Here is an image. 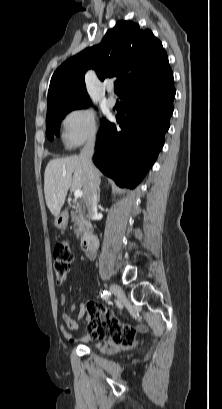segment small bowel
Wrapping results in <instances>:
<instances>
[{
  "instance_id": "small-bowel-1",
  "label": "small bowel",
  "mask_w": 222,
  "mask_h": 409,
  "mask_svg": "<svg viewBox=\"0 0 222 409\" xmlns=\"http://www.w3.org/2000/svg\"><path fill=\"white\" fill-rule=\"evenodd\" d=\"M87 257L89 259H91V260H94L96 255L95 254H91V255L87 254ZM67 302H68L67 295L62 294L61 297H60V303L62 305H66ZM78 310L79 311H78V314H77L76 317H73L69 312H64L63 315H62L64 325L61 326V331H62L65 339L67 341H70V342L75 341L74 336L72 334V331H76L79 328V320L84 316L87 309H86L85 305L80 304L78 306ZM111 317L117 319L113 315H111ZM124 325H126V324H124ZM127 326L133 328L130 325H127ZM133 329L135 331V328H133ZM139 331H142V329H139ZM88 338H89L88 336H85L84 338H82L81 341H85ZM133 345H134L133 340L130 341L129 343L125 344V345H122V344H117L113 340L106 339L105 341L98 343V348L104 354H113V353H116V352H119V351L123 350L126 347H131Z\"/></svg>"
}]
</instances>
